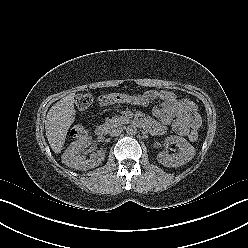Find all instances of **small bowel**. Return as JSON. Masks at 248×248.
Masks as SVG:
<instances>
[{
    "mask_svg": "<svg viewBox=\"0 0 248 248\" xmlns=\"http://www.w3.org/2000/svg\"><path fill=\"white\" fill-rule=\"evenodd\" d=\"M154 100L161 101L160 105L153 108V115L159 122L149 117L141 121L153 134H163L170 123L174 131L181 136H189L192 130H198L201 126L196 105L189 100L177 98L168 90H148L142 94L128 95L126 103L146 106Z\"/></svg>",
    "mask_w": 248,
    "mask_h": 248,
    "instance_id": "1",
    "label": "small bowel"
}]
</instances>
